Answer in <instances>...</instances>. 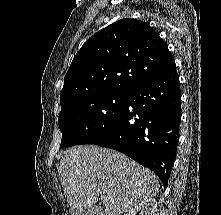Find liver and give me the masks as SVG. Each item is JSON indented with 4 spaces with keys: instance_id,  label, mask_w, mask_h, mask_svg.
Returning a JSON list of instances; mask_svg holds the SVG:
<instances>
[{
    "instance_id": "liver-1",
    "label": "liver",
    "mask_w": 221,
    "mask_h": 215,
    "mask_svg": "<svg viewBox=\"0 0 221 215\" xmlns=\"http://www.w3.org/2000/svg\"><path fill=\"white\" fill-rule=\"evenodd\" d=\"M59 172L70 215H84L99 196L101 215H121L156 196L160 186L155 174L126 155L90 145L66 150Z\"/></svg>"
}]
</instances>
